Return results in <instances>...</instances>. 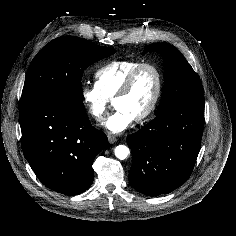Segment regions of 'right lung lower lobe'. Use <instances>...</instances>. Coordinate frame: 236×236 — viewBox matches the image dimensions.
<instances>
[{
  "label": "right lung lower lobe",
  "mask_w": 236,
  "mask_h": 236,
  "mask_svg": "<svg viewBox=\"0 0 236 236\" xmlns=\"http://www.w3.org/2000/svg\"><path fill=\"white\" fill-rule=\"evenodd\" d=\"M20 126L23 154L45 186L70 196L90 187L93 160L108 140L91 125L84 105L31 99L21 103Z\"/></svg>",
  "instance_id": "98d812e1"
}]
</instances>
